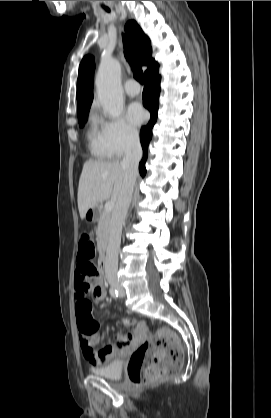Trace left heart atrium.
<instances>
[{"label":"left heart atrium","instance_id":"1","mask_svg":"<svg viewBox=\"0 0 271 418\" xmlns=\"http://www.w3.org/2000/svg\"><path fill=\"white\" fill-rule=\"evenodd\" d=\"M128 117L134 125H139L145 118V112L140 104L133 103L128 108Z\"/></svg>","mask_w":271,"mask_h":418}]
</instances>
